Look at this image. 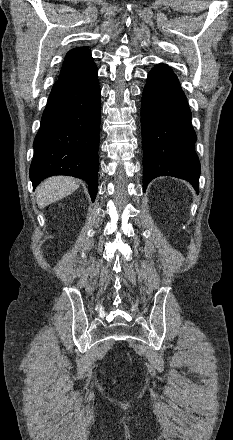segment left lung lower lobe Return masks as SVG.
I'll return each instance as SVG.
<instances>
[{
    "mask_svg": "<svg viewBox=\"0 0 233 440\" xmlns=\"http://www.w3.org/2000/svg\"><path fill=\"white\" fill-rule=\"evenodd\" d=\"M143 186L157 176L190 182L198 191L200 163L191 111L178 78L165 64L148 74L141 105Z\"/></svg>",
    "mask_w": 233,
    "mask_h": 440,
    "instance_id": "0a47b994",
    "label": "left lung lower lobe"
}]
</instances>
